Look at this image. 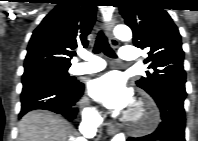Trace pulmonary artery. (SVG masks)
<instances>
[{
	"instance_id": "1",
	"label": "pulmonary artery",
	"mask_w": 198,
	"mask_h": 141,
	"mask_svg": "<svg viewBox=\"0 0 198 141\" xmlns=\"http://www.w3.org/2000/svg\"><path fill=\"white\" fill-rule=\"evenodd\" d=\"M138 50L137 48L126 45L122 47L120 51V57L126 62H135L138 57ZM80 57L85 60V62L76 63L71 66L69 72L74 75H81V74H89L95 73L105 68V62L90 53L82 52L80 53Z\"/></svg>"
}]
</instances>
